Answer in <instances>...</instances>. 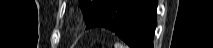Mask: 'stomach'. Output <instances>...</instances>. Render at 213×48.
I'll return each instance as SVG.
<instances>
[{"instance_id":"1","label":"stomach","mask_w":213,"mask_h":48,"mask_svg":"<svg viewBox=\"0 0 213 48\" xmlns=\"http://www.w3.org/2000/svg\"><path fill=\"white\" fill-rule=\"evenodd\" d=\"M100 32H106L105 30H99Z\"/></svg>"}]
</instances>
